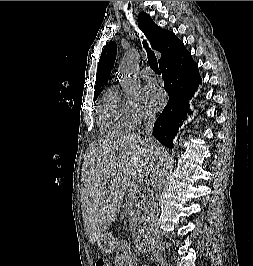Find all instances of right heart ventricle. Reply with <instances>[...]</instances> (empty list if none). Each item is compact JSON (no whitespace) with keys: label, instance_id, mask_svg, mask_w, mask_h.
<instances>
[{"label":"right heart ventricle","instance_id":"obj_1","mask_svg":"<svg viewBox=\"0 0 253 266\" xmlns=\"http://www.w3.org/2000/svg\"><path fill=\"white\" fill-rule=\"evenodd\" d=\"M98 124L101 131L108 135H120L133 127L127 109V101L120 98L117 90L110 87L98 106Z\"/></svg>","mask_w":253,"mask_h":266}]
</instances>
